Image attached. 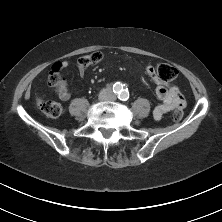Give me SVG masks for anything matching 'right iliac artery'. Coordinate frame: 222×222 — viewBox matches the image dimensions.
<instances>
[{
	"mask_svg": "<svg viewBox=\"0 0 222 222\" xmlns=\"http://www.w3.org/2000/svg\"><path fill=\"white\" fill-rule=\"evenodd\" d=\"M121 91H122L121 86L117 85V86L115 87V93H116V92H117V93H121Z\"/></svg>",
	"mask_w": 222,
	"mask_h": 222,
	"instance_id": "obj_1",
	"label": "right iliac artery"
}]
</instances>
